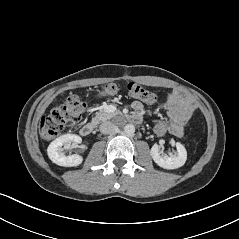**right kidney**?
Returning <instances> with one entry per match:
<instances>
[{
    "label": "right kidney",
    "mask_w": 239,
    "mask_h": 239,
    "mask_svg": "<svg viewBox=\"0 0 239 239\" xmlns=\"http://www.w3.org/2000/svg\"><path fill=\"white\" fill-rule=\"evenodd\" d=\"M81 141V137L76 134H64L50 143L47 148L48 157L59 166H78L83 161L82 156L77 154L66 155L62 152V146L69 147V144L72 143V147H77Z\"/></svg>",
    "instance_id": "ca27d5eb"
}]
</instances>
